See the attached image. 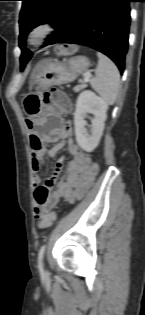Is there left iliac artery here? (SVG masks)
<instances>
[{
	"instance_id": "obj_1",
	"label": "left iliac artery",
	"mask_w": 145,
	"mask_h": 315,
	"mask_svg": "<svg viewBox=\"0 0 145 315\" xmlns=\"http://www.w3.org/2000/svg\"><path fill=\"white\" fill-rule=\"evenodd\" d=\"M45 249H46V245H42L39 249V253H38V266L40 268L43 267V257H44V253H45Z\"/></svg>"
}]
</instances>
